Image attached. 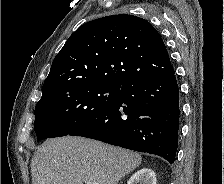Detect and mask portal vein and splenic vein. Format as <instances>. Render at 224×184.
<instances>
[{"label":"portal vein and splenic vein","instance_id":"1","mask_svg":"<svg viewBox=\"0 0 224 184\" xmlns=\"http://www.w3.org/2000/svg\"><path fill=\"white\" fill-rule=\"evenodd\" d=\"M86 184H93L92 182H87Z\"/></svg>","mask_w":224,"mask_h":184}]
</instances>
